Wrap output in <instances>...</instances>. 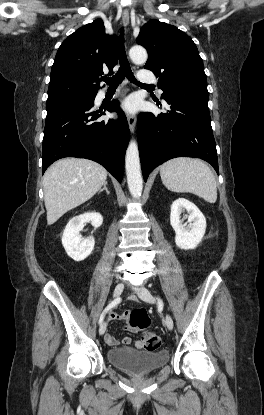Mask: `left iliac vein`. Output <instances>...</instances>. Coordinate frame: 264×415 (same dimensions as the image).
<instances>
[{"label": "left iliac vein", "instance_id": "left-iliac-vein-1", "mask_svg": "<svg viewBox=\"0 0 264 415\" xmlns=\"http://www.w3.org/2000/svg\"><path fill=\"white\" fill-rule=\"evenodd\" d=\"M136 292L139 298L142 299L143 301H146L149 303L155 302V299L153 298V296L151 295L150 291L147 288L141 287ZM165 324L169 330L173 329V326H174L173 319L169 314H166L165 316Z\"/></svg>", "mask_w": 264, "mask_h": 415}]
</instances>
